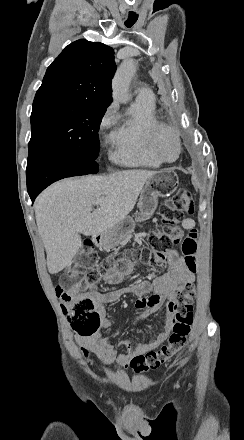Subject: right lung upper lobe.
<instances>
[{"label": "right lung upper lobe", "mask_w": 244, "mask_h": 440, "mask_svg": "<svg viewBox=\"0 0 244 440\" xmlns=\"http://www.w3.org/2000/svg\"><path fill=\"white\" fill-rule=\"evenodd\" d=\"M115 70L111 47L77 40L48 67L34 101H87L108 107Z\"/></svg>", "instance_id": "obj_1"}]
</instances>
